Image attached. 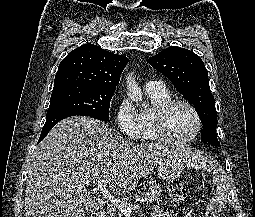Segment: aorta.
<instances>
[{"label": "aorta", "mask_w": 255, "mask_h": 217, "mask_svg": "<svg viewBox=\"0 0 255 217\" xmlns=\"http://www.w3.org/2000/svg\"><path fill=\"white\" fill-rule=\"evenodd\" d=\"M127 80V95L130 97L131 100L135 102L142 101V92L139 84L136 82L133 74L130 73L126 77Z\"/></svg>", "instance_id": "obj_1"}]
</instances>
